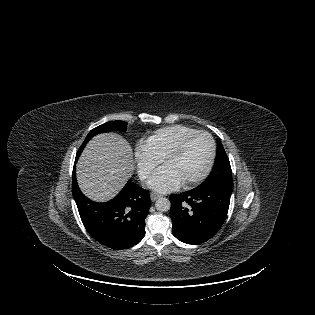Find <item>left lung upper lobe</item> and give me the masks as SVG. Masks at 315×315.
Returning a JSON list of instances; mask_svg holds the SVG:
<instances>
[{
	"mask_svg": "<svg viewBox=\"0 0 315 315\" xmlns=\"http://www.w3.org/2000/svg\"><path fill=\"white\" fill-rule=\"evenodd\" d=\"M204 186L233 187L232 172L229 159L223 145L217 140V156L209 177L202 183Z\"/></svg>",
	"mask_w": 315,
	"mask_h": 315,
	"instance_id": "5c2ea615",
	"label": "left lung upper lobe"
}]
</instances>
